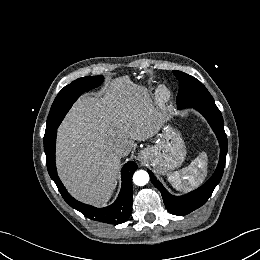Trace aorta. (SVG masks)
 I'll list each match as a JSON object with an SVG mask.
<instances>
[{"mask_svg": "<svg viewBox=\"0 0 260 260\" xmlns=\"http://www.w3.org/2000/svg\"><path fill=\"white\" fill-rule=\"evenodd\" d=\"M149 181V175L144 170H138L133 175V182L138 186H144Z\"/></svg>", "mask_w": 260, "mask_h": 260, "instance_id": "762f6f07", "label": "aorta"}]
</instances>
